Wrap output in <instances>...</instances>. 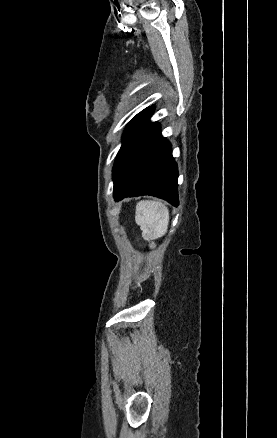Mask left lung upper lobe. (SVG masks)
<instances>
[{"mask_svg": "<svg viewBox=\"0 0 277 438\" xmlns=\"http://www.w3.org/2000/svg\"><path fill=\"white\" fill-rule=\"evenodd\" d=\"M138 118V114L129 122V124L126 127V130L124 132L123 135V144L117 154L114 166H113V181L115 183V181L118 178V175L120 173V170L122 168L123 162L125 160V157L127 155L128 149L130 147L131 141H132V136H133V128L135 125V122Z\"/></svg>", "mask_w": 277, "mask_h": 438, "instance_id": "5c2ea615", "label": "left lung upper lobe"}]
</instances>
